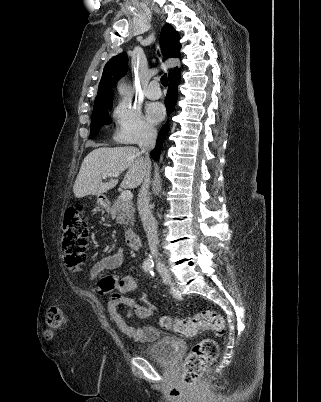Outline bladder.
I'll use <instances>...</instances> for the list:
<instances>
[{
    "mask_svg": "<svg viewBox=\"0 0 321 402\" xmlns=\"http://www.w3.org/2000/svg\"><path fill=\"white\" fill-rule=\"evenodd\" d=\"M180 340L166 332H157L154 342L143 349L142 354L161 365H172L180 351Z\"/></svg>",
    "mask_w": 321,
    "mask_h": 402,
    "instance_id": "31cf9c89",
    "label": "bladder"
}]
</instances>
